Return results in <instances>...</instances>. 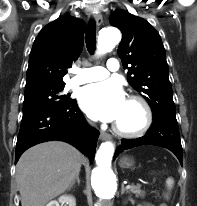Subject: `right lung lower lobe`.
Listing matches in <instances>:
<instances>
[{"label":"right lung lower lobe","instance_id":"1","mask_svg":"<svg viewBox=\"0 0 197 206\" xmlns=\"http://www.w3.org/2000/svg\"><path fill=\"white\" fill-rule=\"evenodd\" d=\"M99 132L85 121L76 100L58 109H50L22 118L16 143L15 163L29 147L50 140L68 142L94 159Z\"/></svg>","mask_w":197,"mask_h":206}]
</instances>
